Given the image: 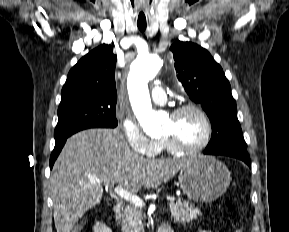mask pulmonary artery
Masks as SVG:
<instances>
[{
  "mask_svg": "<svg viewBox=\"0 0 289 232\" xmlns=\"http://www.w3.org/2000/svg\"><path fill=\"white\" fill-rule=\"evenodd\" d=\"M151 99L154 103L163 105L167 100L164 89L160 86H155L151 91Z\"/></svg>",
  "mask_w": 289,
  "mask_h": 232,
  "instance_id": "1",
  "label": "pulmonary artery"
}]
</instances>
